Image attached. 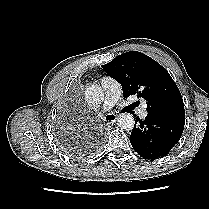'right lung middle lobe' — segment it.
<instances>
[{"label": "right lung middle lobe", "mask_w": 209, "mask_h": 209, "mask_svg": "<svg viewBox=\"0 0 209 209\" xmlns=\"http://www.w3.org/2000/svg\"><path fill=\"white\" fill-rule=\"evenodd\" d=\"M68 149V151L71 153V154H75L76 152L74 151V149H72V148H67Z\"/></svg>", "instance_id": "obj_1"}]
</instances>
